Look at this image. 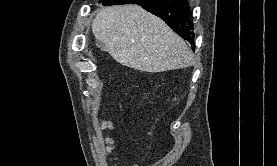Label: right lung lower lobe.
Listing matches in <instances>:
<instances>
[{
  "instance_id": "right-lung-lower-lobe-1",
  "label": "right lung lower lobe",
  "mask_w": 277,
  "mask_h": 166,
  "mask_svg": "<svg viewBox=\"0 0 277 166\" xmlns=\"http://www.w3.org/2000/svg\"><path fill=\"white\" fill-rule=\"evenodd\" d=\"M138 4L145 10L160 17L183 39L194 44L193 26L189 18V5L186 0H116L109 5Z\"/></svg>"
}]
</instances>
